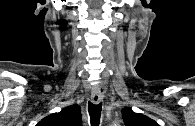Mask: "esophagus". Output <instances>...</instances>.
<instances>
[{
  "mask_svg": "<svg viewBox=\"0 0 195 126\" xmlns=\"http://www.w3.org/2000/svg\"><path fill=\"white\" fill-rule=\"evenodd\" d=\"M103 100V93L100 89H93L91 93V101L94 104H99Z\"/></svg>",
  "mask_w": 195,
  "mask_h": 126,
  "instance_id": "1",
  "label": "esophagus"
}]
</instances>
